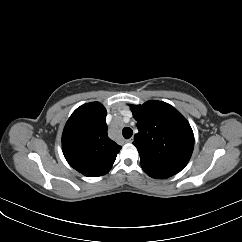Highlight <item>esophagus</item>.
Masks as SVG:
<instances>
[{"mask_svg":"<svg viewBox=\"0 0 242 242\" xmlns=\"http://www.w3.org/2000/svg\"><path fill=\"white\" fill-rule=\"evenodd\" d=\"M126 142L132 143L133 142V138L131 137V138L127 139Z\"/></svg>","mask_w":242,"mask_h":242,"instance_id":"esophagus-1","label":"esophagus"}]
</instances>
